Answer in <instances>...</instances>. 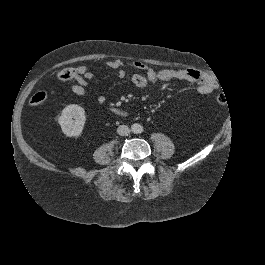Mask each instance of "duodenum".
<instances>
[{
	"label": "duodenum",
	"mask_w": 265,
	"mask_h": 265,
	"mask_svg": "<svg viewBox=\"0 0 265 265\" xmlns=\"http://www.w3.org/2000/svg\"><path fill=\"white\" fill-rule=\"evenodd\" d=\"M114 112H115V113H117V114L124 115V113H123V112H121V111H119V110H114Z\"/></svg>",
	"instance_id": "1"
}]
</instances>
